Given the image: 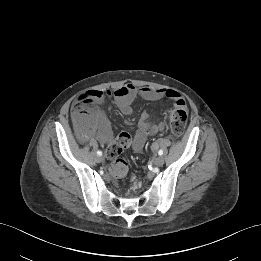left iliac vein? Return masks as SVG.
I'll return each instance as SVG.
<instances>
[{"mask_svg":"<svg viewBox=\"0 0 261 261\" xmlns=\"http://www.w3.org/2000/svg\"><path fill=\"white\" fill-rule=\"evenodd\" d=\"M164 164V158L162 156H157L155 159H154V165L156 167H161L162 165Z\"/></svg>","mask_w":261,"mask_h":261,"instance_id":"4c4485c4","label":"left iliac vein"}]
</instances>
